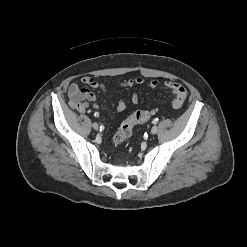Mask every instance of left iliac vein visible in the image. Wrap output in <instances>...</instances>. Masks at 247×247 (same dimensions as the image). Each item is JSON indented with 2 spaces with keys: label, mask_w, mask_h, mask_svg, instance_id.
<instances>
[{
  "label": "left iliac vein",
  "mask_w": 247,
  "mask_h": 247,
  "mask_svg": "<svg viewBox=\"0 0 247 247\" xmlns=\"http://www.w3.org/2000/svg\"><path fill=\"white\" fill-rule=\"evenodd\" d=\"M158 132V127L155 125L151 129V134H156Z\"/></svg>",
  "instance_id": "4c4485c4"
}]
</instances>
